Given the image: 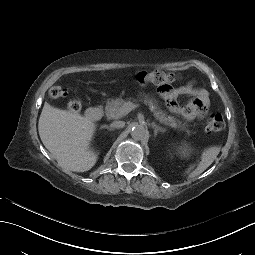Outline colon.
I'll return each instance as SVG.
<instances>
[{"label":"colon","instance_id":"colon-1","mask_svg":"<svg viewBox=\"0 0 255 255\" xmlns=\"http://www.w3.org/2000/svg\"><path fill=\"white\" fill-rule=\"evenodd\" d=\"M136 80L139 84H153L158 86L161 90L167 91L170 84L177 80V76L171 72L165 71H140L136 74ZM49 94L52 98L57 99L64 97L66 91L59 85H54L50 88ZM69 110L77 112L81 109V102L77 99L68 102ZM225 127V121L220 113L211 115L206 121V130L208 132H219Z\"/></svg>","mask_w":255,"mask_h":255}]
</instances>
